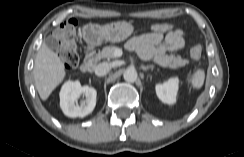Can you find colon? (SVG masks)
I'll return each mask as SVG.
<instances>
[{
  "label": "colon",
  "instance_id": "colon-1",
  "mask_svg": "<svg viewBox=\"0 0 244 157\" xmlns=\"http://www.w3.org/2000/svg\"><path fill=\"white\" fill-rule=\"evenodd\" d=\"M77 28L78 23L75 19H68L62 23L54 32V37L58 41L57 52L68 69H74L79 63V54L77 50ZM173 28L171 23H155L150 29L153 32L164 33ZM202 48L199 44H194L190 50V56L193 60L200 59Z\"/></svg>",
  "mask_w": 244,
  "mask_h": 157
}]
</instances>
